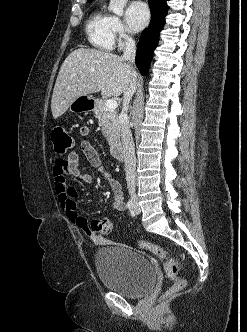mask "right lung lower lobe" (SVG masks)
<instances>
[{
	"label": "right lung lower lobe",
	"mask_w": 247,
	"mask_h": 332,
	"mask_svg": "<svg viewBox=\"0 0 247 332\" xmlns=\"http://www.w3.org/2000/svg\"><path fill=\"white\" fill-rule=\"evenodd\" d=\"M168 0H149L151 21L149 27L142 32L138 42L136 64L142 74H146L153 57L154 49L158 44L160 31L165 24L168 11Z\"/></svg>",
	"instance_id": "right-lung-lower-lobe-1"
}]
</instances>
